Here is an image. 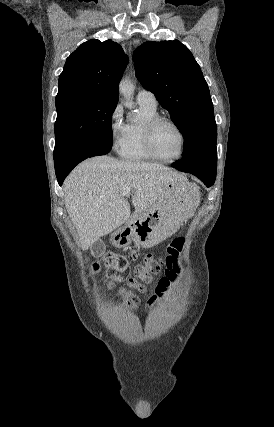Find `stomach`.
Returning a JSON list of instances; mask_svg holds the SVG:
<instances>
[{"label":"stomach","instance_id":"0dacf381","mask_svg":"<svg viewBox=\"0 0 274 427\" xmlns=\"http://www.w3.org/2000/svg\"><path fill=\"white\" fill-rule=\"evenodd\" d=\"M173 188V186H169ZM196 200L194 206L193 200ZM199 204V192L195 184H179L178 190H172L168 202H160L144 214H132L119 229L111 233L110 241L115 247H125L137 241L142 247H153L169 237L178 227L176 215H191Z\"/></svg>","mask_w":274,"mask_h":427}]
</instances>
